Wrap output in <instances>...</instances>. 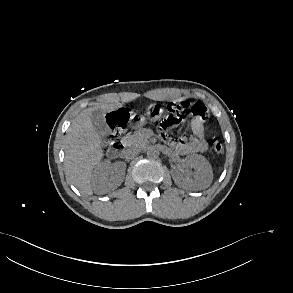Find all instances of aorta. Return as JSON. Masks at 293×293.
Wrapping results in <instances>:
<instances>
[{"mask_svg":"<svg viewBox=\"0 0 293 293\" xmlns=\"http://www.w3.org/2000/svg\"><path fill=\"white\" fill-rule=\"evenodd\" d=\"M146 154L149 159H156L159 156V151L156 148L151 147L147 150Z\"/></svg>","mask_w":293,"mask_h":293,"instance_id":"1","label":"aorta"}]
</instances>
